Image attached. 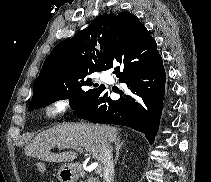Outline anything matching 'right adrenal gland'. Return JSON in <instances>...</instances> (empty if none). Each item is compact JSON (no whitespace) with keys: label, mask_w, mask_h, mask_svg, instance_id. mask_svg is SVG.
Returning <instances> with one entry per match:
<instances>
[{"label":"right adrenal gland","mask_w":211,"mask_h":182,"mask_svg":"<svg viewBox=\"0 0 211 182\" xmlns=\"http://www.w3.org/2000/svg\"><path fill=\"white\" fill-rule=\"evenodd\" d=\"M125 141H120V139H117V141L115 142V148H116V157H115V164L118 161V157H119V151L121 149V147L123 146Z\"/></svg>","instance_id":"2a0ac1e0"}]
</instances>
